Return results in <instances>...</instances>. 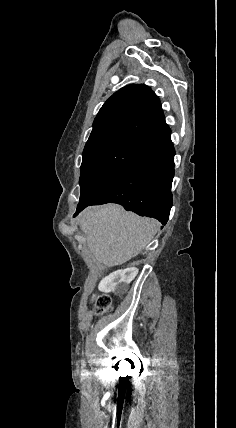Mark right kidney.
<instances>
[{"mask_svg": "<svg viewBox=\"0 0 236 428\" xmlns=\"http://www.w3.org/2000/svg\"><path fill=\"white\" fill-rule=\"evenodd\" d=\"M138 274V268H126V270L108 269L107 277L103 279L102 290L109 291L114 286L117 292H129L130 282Z\"/></svg>", "mask_w": 236, "mask_h": 428, "instance_id": "1", "label": "right kidney"}]
</instances>
